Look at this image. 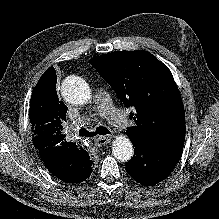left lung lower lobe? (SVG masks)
I'll list each match as a JSON object with an SVG mask.
<instances>
[{
	"mask_svg": "<svg viewBox=\"0 0 219 219\" xmlns=\"http://www.w3.org/2000/svg\"><path fill=\"white\" fill-rule=\"evenodd\" d=\"M134 156L127 163V173L144 186L166 179L178 163L183 149L159 147L148 140L131 139Z\"/></svg>",
	"mask_w": 219,
	"mask_h": 219,
	"instance_id": "left-lung-lower-lobe-1",
	"label": "left lung lower lobe"
}]
</instances>
